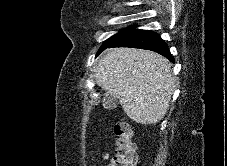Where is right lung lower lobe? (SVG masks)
Here are the masks:
<instances>
[{
  "label": "right lung lower lobe",
  "mask_w": 227,
  "mask_h": 166,
  "mask_svg": "<svg viewBox=\"0 0 227 166\" xmlns=\"http://www.w3.org/2000/svg\"><path fill=\"white\" fill-rule=\"evenodd\" d=\"M122 46L155 51L174 62V59L168 50L167 44L161 39L159 34L153 31L135 29L122 38L105 46L102 51L106 48Z\"/></svg>",
  "instance_id": "obj_1"
}]
</instances>
